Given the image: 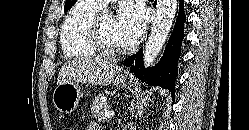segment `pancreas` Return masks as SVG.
<instances>
[{"label": "pancreas", "instance_id": "cf45deb5", "mask_svg": "<svg viewBox=\"0 0 249 130\" xmlns=\"http://www.w3.org/2000/svg\"><path fill=\"white\" fill-rule=\"evenodd\" d=\"M110 109L103 94L97 96L91 105L92 116L96 119H103L104 113Z\"/></svg>", "mask_w": 249, "mask_h": 130}]
</instances>
